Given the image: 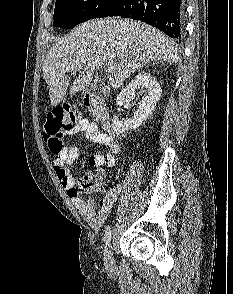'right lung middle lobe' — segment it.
<instances>
[{
	"mask_svg": "<svg viewBox=\"0 0 233 294\" xmlns=\"http://www.w3.org/2000/svg\"><path fill=\"white\" fill-rule=\"evenodd\" d=\"M122 0H56L54 27L73 28L89 19L107 17Z\"/></svg>",
	"mask_w": 233,
	"mask_h": 294,
	"instance_id": "1",
	"label": "right lung middle lobe"
}]
</instances>
